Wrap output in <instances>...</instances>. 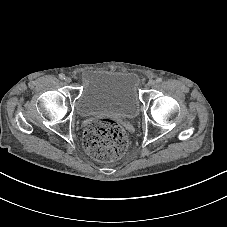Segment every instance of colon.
<instances>
[{"label":"colon","mask_w":227,"mask_h":227,"mask_svg":"<svg viewBox=\"0 0 227 227\" xmlns=\"http://www.w3.org/2000/svg\"><path fill=\"white\" fill-rule=\"evenodd\" d=\"M84 143L90 156L105 162L119 159L128 145L123 127L109 119L91 123L84 134Z\"/></svg>","instance_id":"5ec220e1"}]
</instances>
